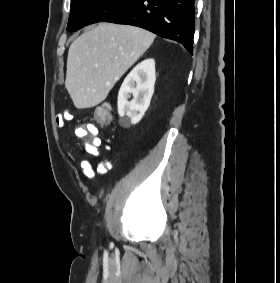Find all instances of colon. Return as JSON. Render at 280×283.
I'll list each match as a JSON object with an SVG mask.
<instances>
[{"label":"colon","instance_id":"1","mask_svg":"<svg viewBox=\"0 0 280 283\" xmlns=\"http://www.w3.org/2000/svg\"><path fill=\"white\" fill-rule=\"evenodd\" d=\"M96 119L99 124H112L113 116L111 115V110L107 106L96 107ZM87 132H98V127H84L78 128V134L80 136H87ZM100 144V140L97 141Z\"/></svg>","mask_w":280,"mask_h":283}]
</instances>
